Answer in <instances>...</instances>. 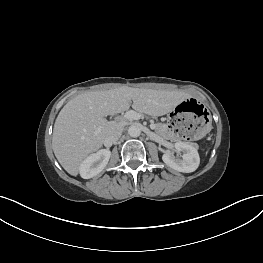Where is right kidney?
I'll return each instance as SVG.
<instances>
[{"mask_svg":"<svg viewBox=\"0 0 263 263\" xmlns=\"http://www.w3.org/2000/svg\"><path fill=\"white\" fill-rule=\"evenodd\" d=\"M111 152L101 149L97 153L91 154L80 164L79 172L83 179H90L98 175L108 164Z\"/></svg>","mask_w":263,"mask_h":263,"instance_id":"right-kidney-1","label":"right kidney"}]
</instances>
